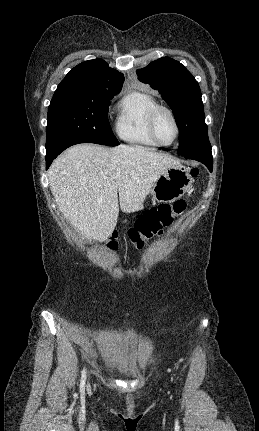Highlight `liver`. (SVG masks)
<instances>
[{"instance_id": "6515ba94", "label": "liver", "mask_w": 259, "mask_h": 431, "mask_svg": "<svg viewBox=\"0 0 259 431\" xmlns=\"http://www.w3.org/2000/svg\"><path fill=\"white\" fill-rule=\"evenodd\" d=\"M174 157L139 145L105 148L75 145L52 163L49 185L58 209L89 240H105L115 229L120 207L134 212Z\"/></svg>"}]
</instances>
